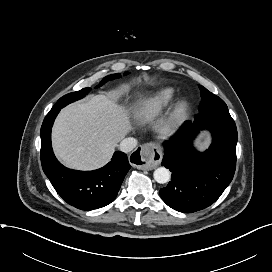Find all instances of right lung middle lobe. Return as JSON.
I'll return each instance as SVG.
<instances>
[{
	"mask_svg": "<svg viewBox=\"0 0 272 272\" xmlns=\"http://www.w3.org/2000/svg\"><path fill=\"white\" fill-rule=\"evenodd\" d=\"M128 74V73H125V75ZM121 75L120 73H117V74H112V75H109V76H106L105 78L102 79V81L100 82V84L97 86L100 87L102 85H104L107 81L109 80H113V79H116V78H120ZM91 89L90 88H84L80 91H77V92H73V93H69L63 97H61L57 103L54 105L53 108H56V107H61L63 108L64 106L68 105L69 103H72L76 100H79L81 98H83L85 95L88 94V92L90 91Z\"/></svg>",
	"mask_w": 272,
	"mask_h": 272,
	"instance_id": "1",
	"label": "right lung middle lobe"
}]
</instances>
